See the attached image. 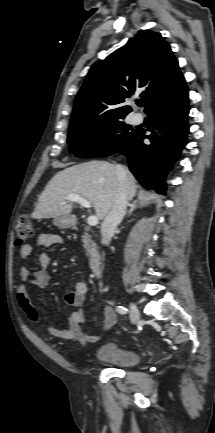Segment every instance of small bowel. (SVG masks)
I'll return each instance as SVG.
<instances>
[{"instance_id":"obj_1","label":"small bowel","mask_w":215,"mask_h":433,"mask_svg":"<svg viewBox=\"0 0 215 433\" xmlns=\"http://www.w3.org/2000/svg\"><path fill=\"white\" fill-rule=\"evenodd\" d=\"M63 239L60 235L52 232H42L36 238V244L41 247H52L61 244ZM32 253V246L24 245L20 248V256L23 258L29 257ZM52 262V256L48 252H44L39 256V269L32 272L28 267H22L20 270L21 283L17 289V301L20 308L26 314L28 319L34 323H40V317L33 305L30 294L29 285L33 284L38 287H46L50 281V275L47 268ZM88 292V285L84 281L77 282L75 289L66 294V302L74 309L67 315L66 329H59L49 326L48 330L54 337L73 340L85 345L87 343H96L100 340V335L89 334L86 331L87 321L80 306L84 303ZM103 330H108L114 326L117 321V313L115 310L106 306L103 309Z\"/></svg>"}]
</instances>
